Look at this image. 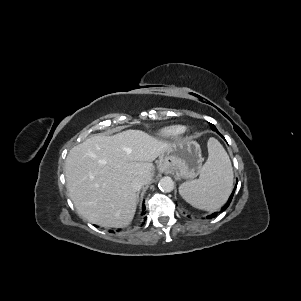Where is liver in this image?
Here are the masks:
<instances>
[{
  "label": "liver",
  "instance_id": "1",
  "mask_svg": "<svg viewBox=\"0 0 301 301\" xmlns=\"http://www.w3.org/2000/svg\"><path fill=\"white\" fill-rule=\"evenodd\" d=\"M170 143L140 130L93 135L74 146L65 161L67 189L78 213L102 227H126L135 215L137 176L152 179L153 161Z\"/></svg>",
  "mask_w": 301,
  "mask_h": 301
}]
</instances>
